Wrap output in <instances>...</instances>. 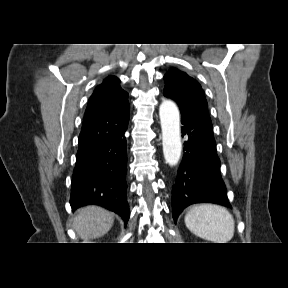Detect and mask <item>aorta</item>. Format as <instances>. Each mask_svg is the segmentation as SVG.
Returning <instances> with one entry per match:
<instances>
[{"label": "aorta", "instance_id": "aorta-1", "mask_svg": "<svg viewBox=\"0 0 288 288\" xmlns=\"http://www.w3.org/2000/svg\"><path fill=\"white\" fill-rule=\"evenodd\" d=\"M159 116L164 158L170 166H175L182 150L179 110L173 101L164 100L159 108Z\"/></svg>", "mask_w": 288, "mask_h": 288}]
</instances>
